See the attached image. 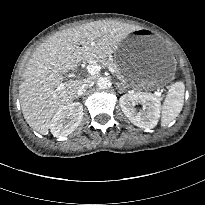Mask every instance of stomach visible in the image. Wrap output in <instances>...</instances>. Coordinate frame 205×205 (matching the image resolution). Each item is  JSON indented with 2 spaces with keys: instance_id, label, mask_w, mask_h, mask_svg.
Returning a JSON list of instances; mask_svg holds the SVG:
<instances>
[{
  "instance_id": "stomach-1",
  "label": "stomach",
  "mask_w": 205,
  "mask_h": 205,
  "mask_svg": "<svg viewBox=\"0 0 205 205\" xmlns=\"http://www.w3.org/2000/svg\"><path fill=\"white\" fill-rule=\"evenodd\" d=\"M114 56L122 77L138 88L162 84L175 69L174 57L164 41L146 28L127 35Z\"/></svg>"
}]
</instances>
